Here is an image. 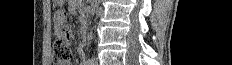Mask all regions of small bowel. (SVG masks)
Segmentation results:
<instances>
[{
    "instance_id": "1",
    "label": "small bowel",
    "mask_w": 232,
    "mask_h": 65,
    "mask_svg": "<svg viewBox=\"0 0 232 65\" xmlns=\"http://www.w3.org/2000/svg\"><path fill=\"white\" fill-rule=\"evenodd\" d=\"M54 20L59 21V23H56V37H67V40H76V35H73V32H70V29H68L65 12H55ZM62 65L71 64L64 63Z\"/></svg>"
}]
</instances>
